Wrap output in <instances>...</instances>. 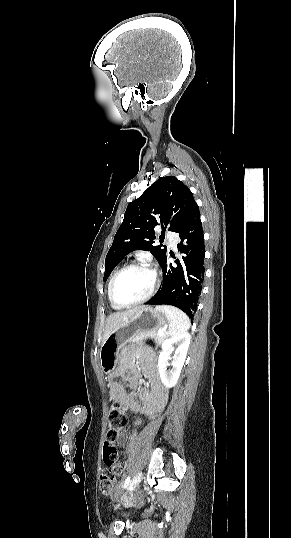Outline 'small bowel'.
Masks as SVG:
<instances>
[{
  "label": "small bowel",
  "mask_w": 291,
  "mask_h": 538,
  "mask_svg": "<svg viewBox=\"0 0 291 538\" xmlns=\"http://www.w3.org/2000/svg\"><path fill=\"white\" fill-rule=\"evenodd\" d=\"M141 370L147 378V387L140 392V402L135 396L125 390L117 381L121 376L128 382L129 386L136 389L139 383V373L135 361L124 353L121 355L120 365L117 369H110L108 372L109 397L110 400L120 404L126 411L139 413L145 416H151L165 397V389L162 386L157 363L154 359L148 358L141 362ZM139 423V421H136ZM118 445L127 446V436L121 432L117 437ZM118 472L121 471L120 464L114 467Z\"/></svg>",
  "instance_id": "1"
}]
</instances>
